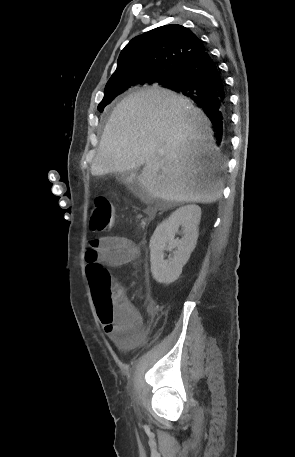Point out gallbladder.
<instances>
[{
    "mask_svg": "<svg viewBox=\"0 0 295 457\" xmlns=\"http://www.w3.org/2000/svg\"><path fill=\"white\" fill-rule=\"evenodd\" d=\"M118 178H119V179H123L122 175H118Z\"/></svg>",
    "mask_w": 295,
    "mask_h": 457,
    "instance_id": "1",
    "label": "gallbladder"
}]
</instances>
